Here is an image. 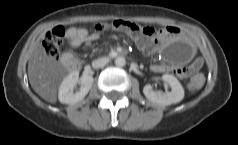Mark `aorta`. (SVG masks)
<instances>
[{
	"label": "aorta",
	"instance_id": "762f6f07",
	"mask_svg": "<svg viewBox=\"0 0 238 145\" xmlns=\"http://www.w3.org/2000/svg\"><path fill=\"white\" fill-rule=\"evenodd\" d=\"M115 65L118 67H123L126 65V60L124 57H117L115 59Z\"/></svg>",
	"mask_w": 238,
	"mask_h": 145
}]
</instances>
